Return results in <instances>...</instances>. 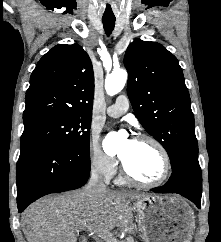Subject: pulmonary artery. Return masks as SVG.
I'll return each instance as SVG.
<instances>
[{"mask_svg": "<svg viewBox=\"0 0 221 242\" xmlns=\"http://www.w3.org/2000/svg\"><path fill=\"white\" fill-rule=\"evenodd\" d=\"M129 108V100L126 95L121 94L116 98L114 104L106 109V113L111 117H119L123 115Z\"/></svg>", "mask_w": 221, "mask_h": 242, "instance_id": "e3ab8cb5", "label": "pulmonary artery"}]
</instances>
